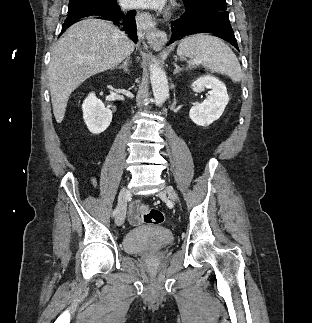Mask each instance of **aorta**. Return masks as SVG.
I'll return each mask as SVG.
<instances>
[{
  "label": "aorta",
  "instance_id": "762f6f07",
  "mask_svg": "<svg viewBox=\"0 0 312 323\" xmlns=\"http://www.w3.org/2000/svg\"><path fill=\"white\" fill-rule=\"evenodd\" d=\"M150 80L156 106H162L169 98V86L165 72L157 64H150Z\"/></svg>",
  "mask_w": 312,
  "mask_h": 323
}]
</instances>
